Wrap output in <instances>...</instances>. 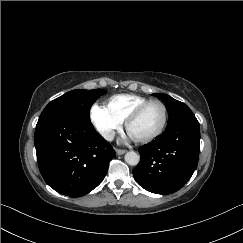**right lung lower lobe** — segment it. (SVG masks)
Masks as SVG:
<instances>
[{"mask_svg": "<svg viewBox=\"0 0 243 243\" xmlns=\"http://www.w3.org/2000/svg\"><path fill=\"white\" fill-rule=\"evenodd\" d=\"M35 148L45 182L70 197L83 196L96 188L115 156L112 146L91 122L61 116L37 123Z\"/></svg>", "mask_w": 243, "mask_h": 243, "instance_id": "right-lung-lower-lobe-1", "label": "right lung lower lobe"}]
</instances>
